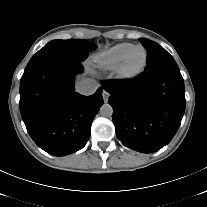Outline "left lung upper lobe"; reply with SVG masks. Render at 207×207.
I'll use <instances>...</instances> for the list:
<instances>
[{"mask_svg": "<svg viewBox=\"0 0 207 207\" xmlns=\"http://www.w3.org/2000/svg\"><path fill=\"white\" fill-rule=\"evenodd\" d=\"M139 41L147 50V65L145 69H152L164 63L174 61L173 57L156 42L147 38H139Z\"/></svg>", "mask_w": 207, "mask_h": 207, "instance_id": "1", "label": "left lung upper lobe"}]
</instances>
